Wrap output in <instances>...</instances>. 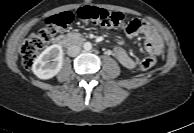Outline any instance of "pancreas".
Wrapping results in <instances>:
<instances>
[{
    "label": "pancreas",
    "instance_id": "1",
    "mask_svg": "<svg viewBox=\"0 0 194 133\" xmlns=\"http://www.w3.org/2000/svg\"><path fill=\"white\" fill-rule=\"evenodd\" d=\"M69 36H70V37H74V36H75V34L70 33V34H69Z\"/></svg>",
    "mask_w": 194,
    "mask_h": 133
}]
</instances>
